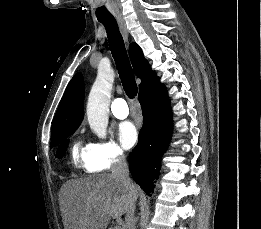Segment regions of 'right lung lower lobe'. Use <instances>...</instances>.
<instances>
[{
    "mask_svg": "<svg viewBox=\"0 0 261 229\" xmlns=\"http://www.w3.org/2000/svg\"><path fill=\"white\" fill-rule=\"evenodd\" d=\"M138 99L143 110V127L138 144L129 155V169L135 182L150 195L171 137L172 113L166 88L159 80L140 92Z\"/></svg>",
    "mask_w": 261,
    "mask_h": 229,
    "instance_id": "obj_1",
    "label": "right lung lower lobe"
}]
</instances>
